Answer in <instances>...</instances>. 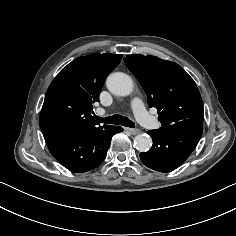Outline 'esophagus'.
<instances>
[{
	"mask_svg": "<svg viewBox=\"0 0 236 236\" xmlns=\"http://www.w3.org/2000/svg\"><path fill=\"white\" fill-rule=\"evenodd\" d=\"M126 131H128L130 134H132V135H135V134H137L138 132H139V130L138 129H134V128H128V127H125L124 128Z\"/></svg>",
	"mask_w": 236,
	"mask_h": 236,
	"instance_id": "34e87169",
	"label": "esophagus"
}]
</instances>
